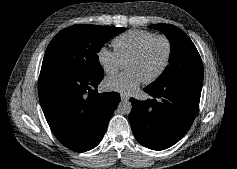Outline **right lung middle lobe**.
<instances>
[{
	"label": "right lung middle lobe",
	"instance_id": "1",
	"mask_svg": "<svg viewBox=\"0 0 237 169\" xmlns=\"http://www.w3.org/2000/svg\"><path fill=\"white\" fill-rule=\"evenodd\" d=\"M125 28L78 24L60 31L50 42L41 70L95 77L104 74L97 53Z\"/></svg>",
	"mask_w": 237,
	"mask_h": 169
}]
</instances>
